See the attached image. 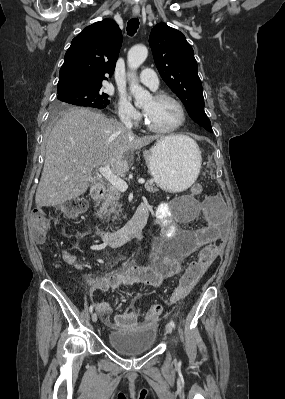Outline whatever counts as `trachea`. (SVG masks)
Wrapping results in <instances>:
<instances>
[{"mask_svg": "<svg viewBox=\"0 0 285 399\" xmlns=\"http://www.w3.org/2000/svg\"><path fill=\"white\" fill-rule=\"evenodd\" d=\"M139 27V20L137 18H132L127 23V33L130 36H133Z\"/></svg>", "mask_w": 285, "mask_h": 399, "instance_id": "trachea-1", "label": "trachea"}]
</instances>
